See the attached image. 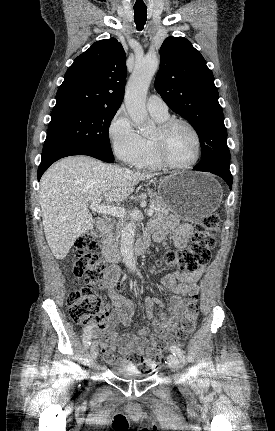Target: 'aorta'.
<instances>
[{"instance_id": "1", "label": "aorta", "mask_w": 275, "mask_h": 431, "mask_svg": "<svg viewBox=\"0 0 275 431\" xmlns=\"http://www.w3.org/2000/svg\"><path fill=\"white\" fill-rule=\"evenodd\" d=\"M158 66L159 58L156 54H148L137 61L125 91L127 112L142 135H148L153 128L145 102L149 85ZM135 232L136 224L131 221L123 229L120 240L123 262L133 273L137 272V263L133 253Z\"/></svg>"}]
</instances>
